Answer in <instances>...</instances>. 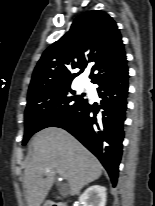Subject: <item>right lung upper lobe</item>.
<instances>
[{
  "label": "right lung upper lobe",
  "instance_id": "right-lung-upper-lobe-1",
  "mask_svg": "<svg viewBox=\"0 0 155 206\" xmlns=\"http://www.w3.org/2000/svg\"><path fill=\"white\" fill-rule=\"evenodd\" d=\"M124 44L115 21L93 10L77 17L70 30L43 53L29 86L28 96L70 85L88 65L91 82L98 83L126 65ZM80 68L79 73L71 71Z\"/></svg>",
  "mask_w": 155,
  "mask_h": 206
}]
</instances>
